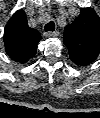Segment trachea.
Segmentation results:
<instances>
[{"label":"trachea","instance_id":"obj_1","mask_svg":"<svg viewBox=\"0 0 100 118\" xmlns=\"http://www.w3.org/2000/svg\"><path fill=\"white\" fill-rule=\"evenodd\" d=\"M55 29V24L53 21H50L49 23H47L45 26H44V30L47 32V31H54Z\"/></svg>","mask_w":100,"mask_h":118}]
</instances>
